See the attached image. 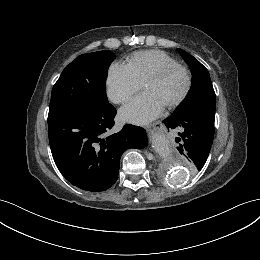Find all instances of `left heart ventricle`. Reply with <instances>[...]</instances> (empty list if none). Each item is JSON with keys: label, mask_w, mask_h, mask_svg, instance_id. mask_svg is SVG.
<instances>
[{"label": "left heart ventricle", "mask_w": 260, "mask_h": 260, "mask_svg": "<svg viewBox=\"0 0 260 260\" xmlns=\"http://www.w3.org/2000/svg\"><path fill=\"white\" fill-rule=\"evenodd\" d=\"M186 86V76L182 71H176L168 75L160 82L143 86L145 93H150L163 106L177 99Z\"/></svg>", "instance_id": "obj_1"}]
</instances>
